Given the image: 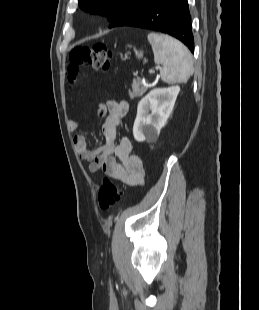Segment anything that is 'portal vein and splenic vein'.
Listing matches in <instances>:
<instances>
[{
	"instance_id": "18ae733b",
	"label": "portal vein and splenic vein",
	"mask_w": 259,
	"mask_h": 310,
	"mask_svg": "<svg viewBox=\"0 0 259 310\" xmlns=\"http://www.w3.org/2000/svg\"><path fill=\"white\" fill-rule=\"evenodd\" d=\"M159 68H160L159 66L156 67V69H159ZM153 73H154V69H150L149 74H153Z\"/></svg>"
}]
</instances>
